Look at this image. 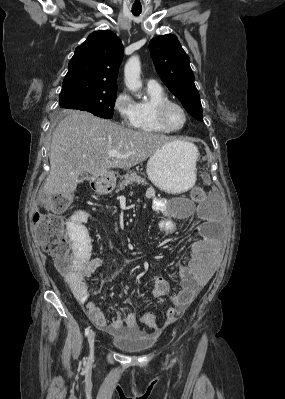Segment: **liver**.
Masks as SVG:
<instances>
[{"label":"liver","mask_w":285,"mask_h":399,"mask_svg":"<svg viewBox=\"0 0 285 399\" xmlns=\"http://www.w3.org/2000/svg\"><path fill=\"white\" fill-rule=\"evenodd\" d=\"M172 142L170 138L135 131L83 111H71L60 121L51 140L50 172L43 192L68 197L82 173L103 176L114 168L129 169ZM117 151L125 158H113Z\"/></svg>","instance_id":"liver-1"}]
</instances>
